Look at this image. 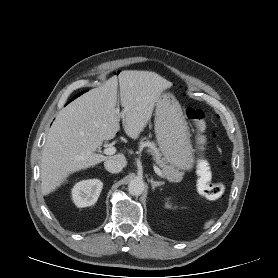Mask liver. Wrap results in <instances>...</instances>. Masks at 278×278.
<instances>
[{"instance_id":"1","label":"liver","mask_w":278,"mask_h":278,"mask_svg":"<svg viewBox=\"0 0 278 278\" xmlns=\"http://www.w3.org/2000/svg\"><path fill=\"white\" fill-rule=\"evenodd\" d=\"M118 82L121 117L125 133L137 139L146 127L160 94L171 82L149 71L125 70L104 85L78 97L56 116L47 135L41 164V189L48 195L67 177L96 164L113 159L127 165L122 153L104 156L95 153L103 141L120 130L116 107Z\"/></svg>"}]
</instances>
